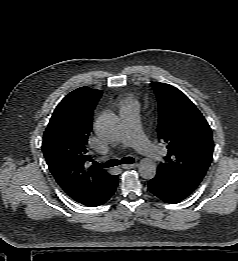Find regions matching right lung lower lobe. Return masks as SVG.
Masks as SVG:
<instances>
[{"mask_svg": "<svg viewBox=\"0 0 238 261\" xmlns=\"http://www.w3.org/2000/svg\"><path fill=\"white\" fill-rule=\"evenodd\" d=\"M117 185L118 176L112 175L109 181L105 184V186L101 189V191L98 194H96L94 197L82 204L89 207H95L106 203L114 194Z\"/></svg>", "mask_w": 238, "mask_h": 261, "instance_id": "98d812e1", "label": "right lung lower lobe"}]
</instances>
